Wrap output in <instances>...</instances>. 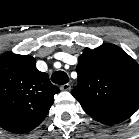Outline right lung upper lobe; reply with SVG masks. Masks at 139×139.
I'll return each mask as SVG.
<instances>
[{"label":"right lung upper lobe","instance_id":"right-lung-upper-lobe-1","mask_svg":"<svg viewBox=\"0 0 139 139\" xmlns=\"http://www.w3.org/2000/svg\"><path fill=\"white\" fill-rule=\"evenodd\" d=\"M60 90L36 60L6 52L0 56V127L13 133H27L47 116Z\"/></svg>","mask_w":139,"mask_h":139}]
</instances>
